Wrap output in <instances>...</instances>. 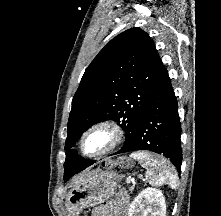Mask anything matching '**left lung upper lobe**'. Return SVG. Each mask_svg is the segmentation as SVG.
<instances>
[{"instance_id": "obj_1", "label": "left lung upper lobe", "mask_w": 221, "mask_h": 216, "mask_svg": "<svg viewBox=\"0 0 221 216\" xmlns=\"http://www.w3.org/2000/svg\"><path fill=\"white\" fill-rule=\"evenodd\" d=\"M160 65L154 42L140 28L117 35L98 53L72 100L65 144V181L84 169L87 160L70 149L93 124L114 120L125 129V145L132 139L149 104Z\"/></svg>"}]
</instances>
